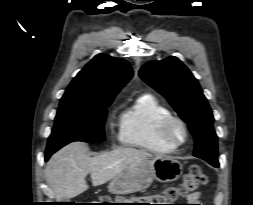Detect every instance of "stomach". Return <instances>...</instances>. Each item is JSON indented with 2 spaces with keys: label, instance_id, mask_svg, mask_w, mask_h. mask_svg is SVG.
Listing matches in <instances>:
<instances>
[{
  "label": "stomach",
  "instance_id": "stomach-1",
  "mask_svg": "<svg viewBox=\"0 0 253 205\" xmlns=\"http://www.w3.org/2000/svg\"><path fill=\"white\" fill-rule=\"evenodd\" d=\"M181 174L182 164L175 159L164 156L141 158L113 178L108 190L113 194L134 193L149 187L154 179L172 182Z\"/></svg>",
  "mask_w": 253,
  "mask_h": 205
}]
</instances>
